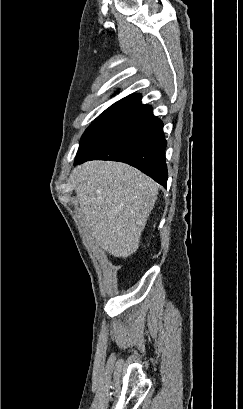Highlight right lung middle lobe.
Here are the masks:
<instances>
[{
  "label": "right lung middle lobe",
  "mask_w": 243,
  "mask_h": 409,
  "mask_svg": "<svg viewBox=\"0 0 243 409\" xmlns=\"http://www.w3.org/2000/svg\"><path fill=\"white\" fill-rule=\"evenodd\" d=\"M122 102H116L107 108L102 114H100L95 121L84 132L81 143L92 134L97 128H99L121 105Z\"/></svg>",
  "instance_id": "dd1d6c3e"
}]
</instances>
